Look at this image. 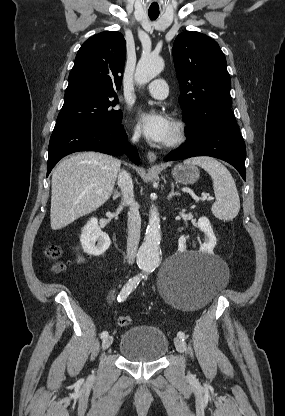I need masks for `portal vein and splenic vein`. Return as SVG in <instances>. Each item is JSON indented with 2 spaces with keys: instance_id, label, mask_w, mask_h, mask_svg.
<instances>
[{
  "instance_id": "18ae733b",
  "label": "portal vein and splenic vein",
  "mask_w": 285,
  "mask_h": 416,
  "mask_svg": "<svg viewBox=\"0 0 285 416\" xmlns=\"http://www.w3.org/2000/svg\"><path fill=\"white\" fill-rule=\"evenodd\" d=\"M203 198H201V200H214V198H207L208 194H202Z\"/></svg>"
}]
</instances>
